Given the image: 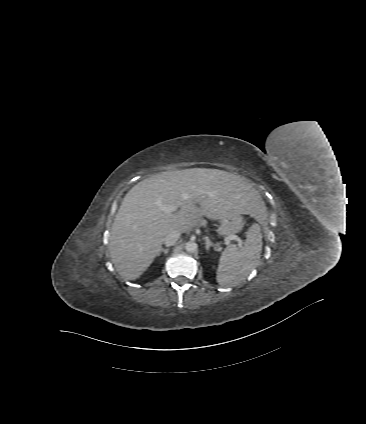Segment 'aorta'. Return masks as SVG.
<instances>
[{"mask_svg":"<svg viewBox=\"0 0 366 424\" xmlns=\"http://www.w3.org/2000/svg\"><path fill=\"white\" fill-rule=\"evenodd\" d=\"M185 249H186V251H188V252L194 253V252H196V251H197V249H198V245H197V243H196V242H194V241H188V242L186 243V245H185Z\"/></svg>","mask_w":366,"mask_h":424,"instance_id":"aorta-1","label":"aorta"}]
</instances>
